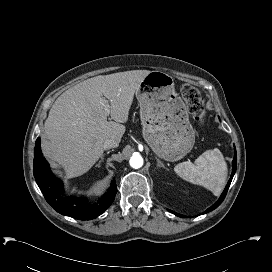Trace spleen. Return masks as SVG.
Returning <instances> with one entry per match:
<instances>
[{
  "mask_svg": "<svg viewBox=\"0 0 272 272\" xmlns=\"http://www.w3.org/2000/svg\"><path fill=\"white\" fill-rule=\"evenodd\" d=\"M174 171L182 179L203 186L218 196L225 186L228 169L220 150L215 148L202 153L194 163H179Z\"/></svg>",
  "mask_w": 272,
  "mask_h": 272,
  "instance_id": "spleen-1",
  "label": "spleen"
}]
</instances>
